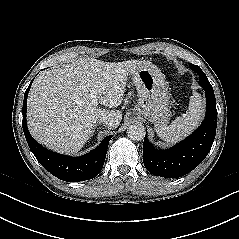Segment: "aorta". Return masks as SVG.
<instances>
[{
	"label": "aorta",
	"mask_w": 239,
	"mask_h": 239,
	"mask_svg": "<svg viewBox=\"0 0 239 239\" xmlns=\"http://www.w3.org/2000/svg\"><path fill=\"white\" fill-rule=\"evenodd\" d=\"M127 135L131 140L141 141L145 137V127L141 123H134L128 127Z\"/></svg>",
	"instance_id": "1"
}]
</instances>
